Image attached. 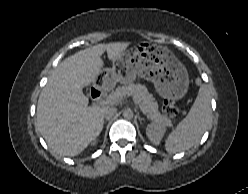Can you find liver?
<instances>
[{"label":"liver","mask_w":248,"mask_h":194,"mask_svg":"<svg viewBox=\"0 0 248 194\" xmlns=\"http://www.w3.org/2000/svg\"><path fill=\"white\" fill-rule=\"evenodd\" d=\"M127 42L98 44L63 60L42 89L37 104V126L48 146L61 156L80 154L100 134L105 107H88L83 88L102 72L101 55L116 61Z\"/></svg>","instance_id":"6515ba94"}]
</instances>
